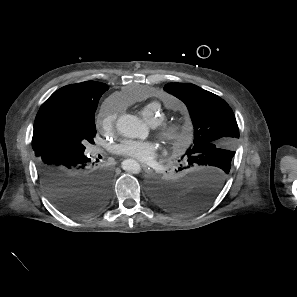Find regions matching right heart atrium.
Segmentation results:
<instances>
[{"label": "right heart atrium", "instance_id": "right-heart-atrium-1", "mask_svg": "<svg viewBox=\"0 0 297 297\" xmlns=\"http://www.w3.org/2000/svg\"><path fill=\"white\" fill-rule=\"evenodd\" d=\"M118 112L119 107L114 99L109 98L104 101L100 108L98 119L100 129L103 132L108 133L112 131L117 119Z\"/></svg>", "mask_w": 297, "mask_h": 297}]
</instances>
